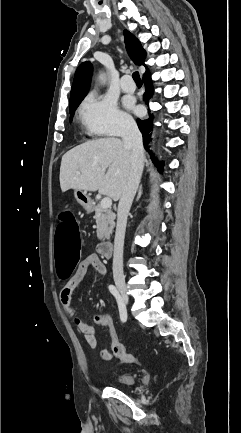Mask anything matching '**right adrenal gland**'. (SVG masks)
Listing matches in <instances>:
<instances>
[{"label": "right adrenal gland", "mask_w": 241, "mask_h": 433, "mask_svg": "<svg viewBox=\"0 0 241 433\" xmlns=\"http://www.w3.org/2000/svg\"><path fill=\"white\" fill-rule=\"evenodd\" d=\"M142 195V185L139 187L138 194L136 200L138 201Z\"/></svg>", "instance_id": "right-adrenal-gland-1"}]
</instances>
